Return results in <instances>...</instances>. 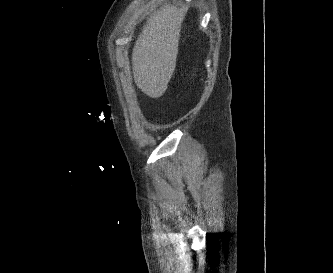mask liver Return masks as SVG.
<instances>
[{
    "mask_svg": "<svg viewBox=\"0 0 333 273\" xmlns=\"http://www.w3.org/2000/svg\"><path fill=\"white\" fill-rule=\"evenodd\" d=\"M183 18V7L165 4L150 16L134 45V81L151 98L165 93L175 70Z\"/></svg>",
    "mask_w": 333,
    "mask_h": 273,
    "instance_id": "1",
    "label": "liver"
}]
</instances>
